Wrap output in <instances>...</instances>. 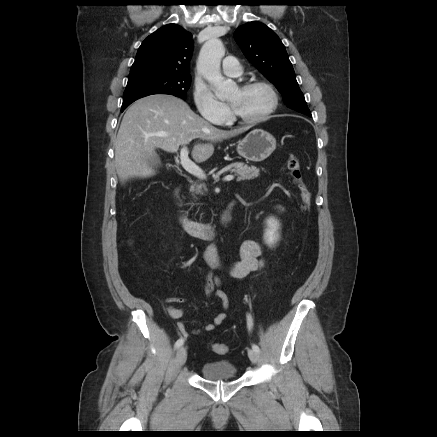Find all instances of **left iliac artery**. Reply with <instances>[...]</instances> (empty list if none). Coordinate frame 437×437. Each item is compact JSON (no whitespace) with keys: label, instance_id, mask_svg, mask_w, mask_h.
Segmentation results:
<instances>
[{"label":"left iliac artery","instance_id":"1","mask_svg":"<svg viewBox=\"0 0 437 437\" xmlns=\"http://www.w3.org/2000/svg\"><path fill=\"white\" fill-rule=\"evenodd\" d=\"M253 322H252V317L250 314L247 315V326L248 329L250 330L252 328ZM252 349L255 350L256 352H259L260 349L256 344H252Z\"/></svg>","mask_w":437,"mask_h":437}]
</instances>
